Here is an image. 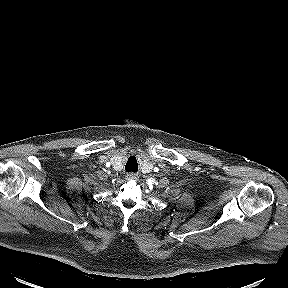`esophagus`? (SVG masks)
<instances>
[{"label":"esophagus","instance_id":"34e87169","mask_svg":"<svg viewBox=\"0 0 288 288\" xmlns=\"http://www.w3.org/2000/svg\"><path fill=\"white\" fill-rule=\"evenodd\" d=\"M126 179L127 180H136L137 179V175L135 173H128L126 175Z\"/></svg>","mask_w":288,"mask_h":288}]
</instances>
